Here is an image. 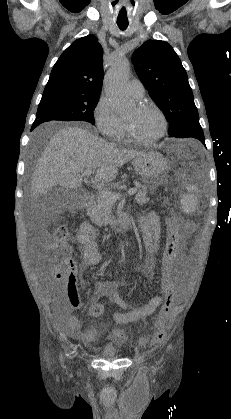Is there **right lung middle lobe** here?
I'll return each mask as SVG.
<instances>
[{"mask_svg": "<svg viewBox=\"0 0 231 419\" xmlns=\"http://www.w3.org/2000/svg\"><path fill=\"white\" fill-rule=\"evenodd\" d=\"M100 94L83 93L69 88H45L34 125L50 120L87 121L94 124L93 111Z\"/></svg>", "mask_w": 231, "mask_h": 419, "instance_id": "1", "label": "right lung middle lobe"}]
</instances>
